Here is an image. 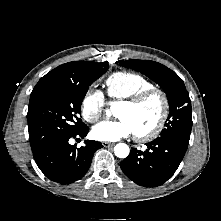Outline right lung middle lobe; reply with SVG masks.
Listing matches in <instances>:
<instances>
[{"label":"right lung middle lobe","mask_w":221,"mask_h":221,"mask_svg":"<svg viewBox=\"0 0 221 221\" xmlns=\"http://www.w3.org/2000/svg\"><path fill=\"white\" fill-rule=\"evenodd\" d=\"M107 70L105 62L73 61L70 76L49 82L31 93L27 118L32 150L86 125L80 119L82 101L89 86Z\"/></svg>","instance_id":"dd1d6c3e"}]
</instances>
